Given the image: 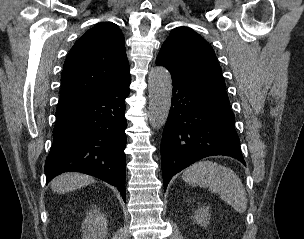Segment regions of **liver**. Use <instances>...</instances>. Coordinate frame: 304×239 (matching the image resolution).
I'll return each instance as SVG.
<instances>
[{
  "label": "liver",
  "instance_id": "liver-1",
  "mask_svg": "<svg viewBox=\"0 0 304 239\" xmlns=\"http://www.w3.org/2000/svg\"><path fill=\"white\" fill-rule=\"evenodd\" d=\"M94 182L91 176L79 173H65L51 182V188L54 192L64 194L69 191H74L83 186H87Z\"/></svg>",
  "mask_w": 304,
  "mask_h": 239
}]
</instances>
